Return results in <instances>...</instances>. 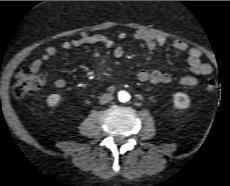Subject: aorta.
Listing matches in <instances>:
<instances>
[{
	"mask_svg": "<svg viewBox=\"0 0 230 186\" xmlns=\"http://www.w3.org/2000/svg\"><path fill=\"white\" fill-rule=\"evenodd\" d=\"M118 100H119L120 102H123V103L129 101V100H130V95H129V93L126 92V91H120V92L118 93Z\"/></svg>",
	"mask_w": 230,
	"mask_h": 186,
	"instance_id": "obj_1",
	"label": "aorta"
}]
</instances>
